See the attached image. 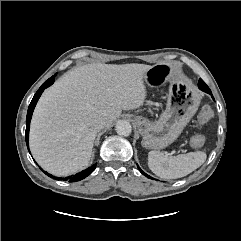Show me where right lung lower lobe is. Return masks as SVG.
<instances>
[{
	"label": "right lung lower lobe",
	"mask_w": 241,
	"mask_h": 241,
	"mask_svg": "<svg viewBox=\"0 0 241 241\" xmlns=\"http://www.w3.org/2000/svg\"><path fill=\"white\" fill-rule=\"evenodd\" d=\"M56 76V74L54 76H52L51 78H49L48 80H46L42 86L39 88V90L36 92V94L34 95L29 108H28V112H27V118H26V133H25V138H26V144L28 147V140H29V127H30V121H31V117H32V113L34 111V108L36 106V103L38 101V99L40 98L42 92L44 91L45 88L49 87L50 85H52L54 83V77ZM96 168V164L83 170L82 172L72 176V177H66V178H56L58 180H68L69 182H76V181H80L82 179H84L85 177H87L89 174H91ZM45 174H47L49 177H52L51 174H48L47 172H45Z\"/></svg>",
	"instance_id": "right-lung-lower-lobe-1"
}]
</instances>
